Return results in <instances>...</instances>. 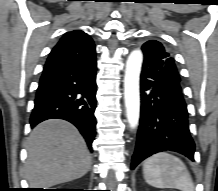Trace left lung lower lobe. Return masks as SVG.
Masks as SVG:
<instances>
[{
    "instance_id": "obj_1",
    "label": "left lung lower lobe",
    "mask_w": 218,
    "mask_h": 191,
    "mask_svg": "<svg viewBox=\"0 0 218 191\" xmlns=\"http://www.w3.org/2000/svg\"><path fill=\"white\" fill-rule=\"evenodd\" d=\"M174 83H170V82ZM141 115L131 169L154 153L171 150L194 160L188 112L180 82L145 57L141 72Z\"/></svg>"
}]
</instances>
